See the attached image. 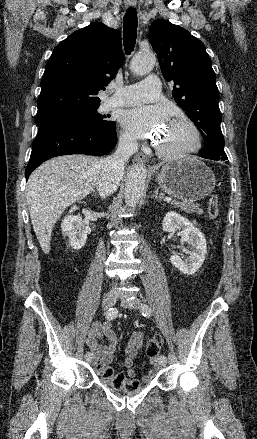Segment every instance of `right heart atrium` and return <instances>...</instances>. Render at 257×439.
<instances>
[{"label":"right heart atrium","instance_id":"obj_1","mask_svg":"<svg viewBox=\"0 0 257 439\" xmlns=\"http://www.w3.org/2000/svg\"><path fill=\"white\" fill-rule=\"evenodd\" d=\"M120 144L125 151L131 152L134 150L136 142L131 134L122 132L120 135Z\"/></svg>","mask_w":257,"mask_h":439}]
</instances>
